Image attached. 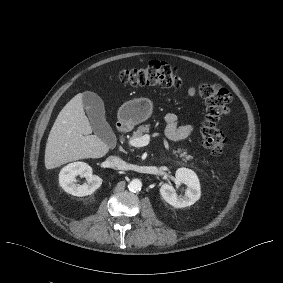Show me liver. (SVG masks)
<instances>
[{"label":"liver","instance_id":"1","mask_svg":"<svg viewBox=\"0 0 283 283\" xmlns=\"http://www.w3.org/2000/svg\"><path fill=\"white\" fill-rule=\"evenodd\" d=\"M82 93L74 96L60 111L49 133L45 149V167L53 169L84 158H101L110 147L97 135L85 115Z\"/></svg>","mask_w":283,"mask_h":283}]
</instances>
